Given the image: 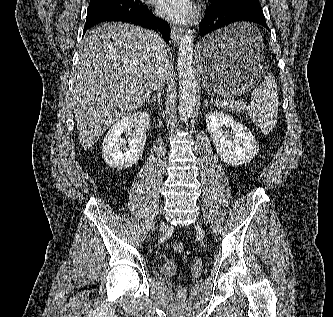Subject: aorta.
I'll list each match as a JSON object with an SVG mask.
<instances>
[{
    "label": "aorta",
    "mask_w": 333,
    "mask_h": 317,
    "mask_svg": "<svg viewBox=\"0 0 333 317\" xmlns=\"http://www.w3.org/2000/svg\"><path fill=\"white\" fill-rule=\"evenodd\" d=\"M194 30H186L181 38L177 53L179 78V115L188 121L197 102V85L193 62Z\"/></svg>",
    "instance_id": "1"
}]
</instances>
